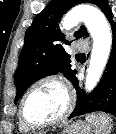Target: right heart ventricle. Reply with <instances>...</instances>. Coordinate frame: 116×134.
<instances>
[{"instance_id": "right-heart-ventricle-1", "label": "right heart ventricle", "mask_w": 116, "mask_h": 134, "mask_svg": "<svg viewBox=\"0 0 116 134\" xmlns=\"http://www.w3.org/2000/svg\"><path fill=\"white\" fill-rule=\"evenodd\" d=\"M19 130H20L21 132H29V131H31L32 129L29 128V127H27L26 125H24V124L21 122V120L19 119Z\"/></svg>"}]
</instances>
